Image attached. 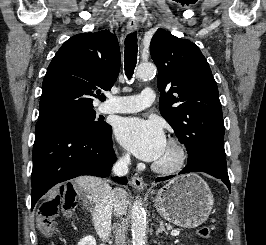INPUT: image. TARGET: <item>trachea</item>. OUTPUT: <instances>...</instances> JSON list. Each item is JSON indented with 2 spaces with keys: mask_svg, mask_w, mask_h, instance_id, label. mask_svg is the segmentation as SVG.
Returning <instances> with one entry per match:
<instances>
[{
  "mask_svg": "<svg viewBox=\"0 0 266 245\" xmlns=\"http://www.w3.org/2000/svg\"><path fill=\"white\" fill-rule=\"evenodd\" d=\"M125 74L128 78H132L137 63V34L130 33L125 39L124 50Z\"/></svg>",
  "mask_w": 266,
  "mask_h": 245,
  "instance_id": "obj_1",
  "label": "trachea"
}]
</instances>
